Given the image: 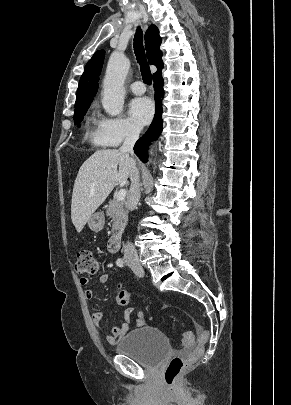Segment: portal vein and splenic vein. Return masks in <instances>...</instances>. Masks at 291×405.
<instances>
[{
	"mask_svg": "<svg viewBox=\"0 0 291 405\" xmlns=\"http://www.w3.org/2000/svg\"><path fill=\"white\" fill-rule=\"evenodd\" d=\"M125 197H126V190H125V189H121V190H119V192L117 193L116 200H118V201H123V200L125 199Z\"/></svg>",
	"mask_w": 291,
	"mask_h": 405,
	"instance_id": "18ae733b",
	"label": "portal vein and splenic vein"
}]
</instances>
